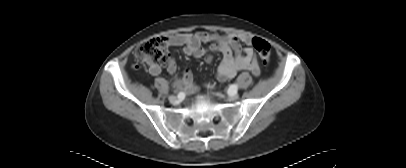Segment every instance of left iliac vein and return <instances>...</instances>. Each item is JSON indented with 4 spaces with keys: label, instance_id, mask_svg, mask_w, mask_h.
I'll list each match as a JSON object with an SVG mask.
<instances>
[{
    "label": "left iliac vein",
    "instance_id": "1",
    "mask_svg": "<svg viewBox=\"0 0 406 168\" xmlns=\"http://www.w3.org/2000/svg\"><path fill=\"white\" fill-rule=\"evenodd\" d=\"M238 98H239V95H238L237 92L228 95V100H229V101H235V100H237Z\"/></svg>",
    "mask_w": 406,
    "mask_h": 168
}]
</instances>
